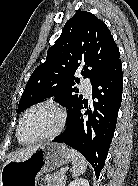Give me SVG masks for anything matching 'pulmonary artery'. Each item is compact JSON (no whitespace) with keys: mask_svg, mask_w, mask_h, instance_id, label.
Instances as JSON below:
<instances>
[{"mask_svg":"<svg viewBox=\"0 0 138 186\" xmlns=\"http://www.w3.org/2000/svg\"><path fill=\"white\" fill-rule=\"evenodd\" d=\"M81 86H82V88L84 89V91L87 95L91 94L92 86H91L90 79H88V78L83 79L82 82H81Z\"/></svg>","mask_w":138,"mask_h":186,"instance_id":"pulmonary-artery-1","label":"pulmonary artery"}]
</instances>
